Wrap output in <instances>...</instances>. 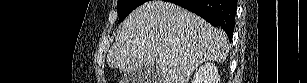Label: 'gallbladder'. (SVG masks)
<instances>
[{
  "mask_svg": "<svg viewBox=\"0 0 307 83\" xmlns=\"http://www.w3.org/2000/svg\"><path fill=\"white\" fill-rule=\"evenodd\" d=\"M161 73L152 66L135 69L123 77L125 83H159Z\"/></svg>",
  "mask_w": 307,
  "mask_h": 83,
  "instance_id": "gallbladder-1",
  "label": "gallbladder"
}]
</instances>
